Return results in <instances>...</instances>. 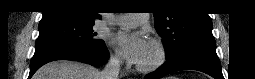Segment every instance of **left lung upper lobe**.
Listing matches in <instances>:
<instances>
[{
	"mask_svg": "<svg viewBox=\"0 0 255 79\" xmlns=\"http://www.w3.org/2000/svg\"><path fill=\"white\" fill-rule=\"evenodd\" d=\"M160 2L154 14L157 33L162 37L166 49V59L178 56L183 50L196 43H215L212 21L208 14L194 11L182 12L165 8L171 1Z\"/></svg>",
	"mask_w": 255,
	"mask_h": 79,
	"instance_id": "left-lung-upper-lobe-1",
	"label": "left lung upper lobe"
}]
</instances>
